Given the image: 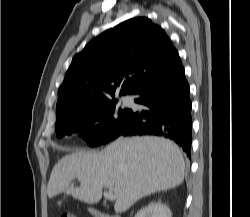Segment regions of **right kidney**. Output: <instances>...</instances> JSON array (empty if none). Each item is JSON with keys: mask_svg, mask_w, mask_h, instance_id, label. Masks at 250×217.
<instances>
[{"mask_svg": "<svg viewBox=\"0 0 250 217\" xmlns=\"http://www.w3.org/2000/svg\"><path fill=\"white\" fill-rule=\"evenodd\" d=\"M135 217H172V212L162 202H152L137 212Z\"/></svg>", "mask_w": 250, "mask_h": 217, "instance_id": "right-kidney-1", "label": "right kidney"}]
</instances>
